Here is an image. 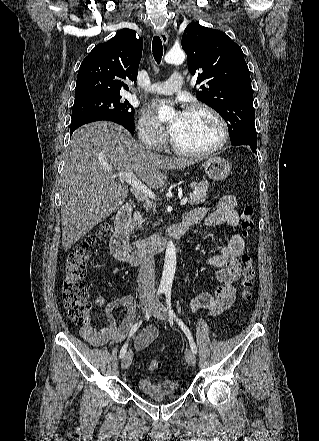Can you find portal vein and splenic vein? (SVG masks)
Here are the masks:
<instances>
[{"label":"portal vein and splenic vein","mask_w":319,"mask_h":441,"mask_svg":"<svg viewBox=\"0 0 319 441\" xmlns=\"http://www.w3.org/2000/svg\"><path fill=\"white\" fill-rule=\"evenodd\" d=\"M116 177L119 179L127 182L131 185L132 188L137 190L138 192L143 193L144 195H147L151 199H156L155 194L150 190L145 184H143L134 173L132 172H117L115 174ZM188 199L185 197L181 200V205H185L187 203Z\"/></svg>","instance_id":"portal-vein-and-splenic-vein-1"}]
</instances>
